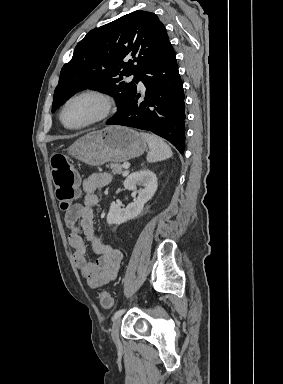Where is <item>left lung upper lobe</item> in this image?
I'll list each match as a JSON object with an SVG mask.
<instances>
[{"label":"left lung upper lobe","instance_id":"5c2ea615","mask_svg":"<svg viewBox=\"0 0 283 384\" xmlns=\"http://www.w3.org/2000/svg\"><path fill=\"white\" fill-rule=\"evenodd\" d=\"M168 43L164 25L147 11H134L91 30L62 67L52 112L79 90L92 88L115 97V115L121 113L136 90L134 81ZM130 75H134L132 82H121Z\"/></svg>","mask_w":283,"mask_h":384}]
</instances>
